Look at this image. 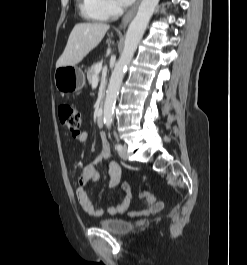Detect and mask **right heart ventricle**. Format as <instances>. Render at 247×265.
Wrapping results in <instances>:
<instances>
[{
  "instance_id": "e07e8e85",
  "label": "right heart ventricle",
  "mask_w": 247,
  "mask_h": 265,
  "mask_svg": "<svg viewBox=\"0 0 247 265\" xmlns=\"http://www.w3.org/2000/svg\"><path fill=\"white\" fill-rule=\"evenodd\" d=\"M80 1V7L83 15L87 17L88 19L95 20V21H103L107 20L108 18L103 17L99 13H97L92 8V1L91 0H79Z\"/></svg>"
}]
</instances>
